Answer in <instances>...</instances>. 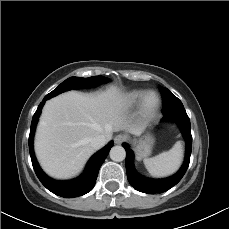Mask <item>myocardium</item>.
<instances>
[{"label": "myocardium", "mask_w": 229, "mask_h": 229, "mask_svg": "<svg viewBox=\"0 0 229 229\" xmlns=\"http://www.w3.org/2000/svg\"><path fill=\"white\" fill-rule=\"evenodd\" d=\"M161 100L157 93L148 91L141 100V114L144 118H152L160 108Z\"/></svg>", "instance_id": "myocardium-1"}]
</instances>
